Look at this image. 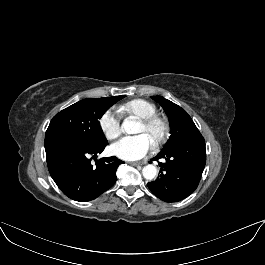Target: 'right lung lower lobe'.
I'll return each mask as SVG.
<instances>
[{
	"mask_svg": "<svg viewBox=\"0 0 265 265\" xmlns=\"http://www.w3.org/2000/svg\"><path fill=\"white\" fill-rule=\"evenodd\" d=\"M106 145L107 141L92 144L67 135L45 136L50 175L66 196L87 202L114 185L116 170L124 162L115 156L97 160Z\"/></svg>",
	"mask_w": 265,
	"mask_h": 265,
	"instance_id": "right-lung-lower-lobe-1",
	"label": "right lung lower lobe"
}]
</instances>
